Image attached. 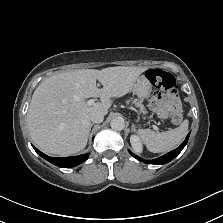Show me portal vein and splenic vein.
Returning <instances> with one entry per match:
<instances>
[{
    "instance_id": "1",
    "label": "portal vein and splenic vein",
    "mask_w": 223,
    "mask_h": 223,
    "mask_svg": "<svg viewBox=\"0 0 223 223\" xmlns=\"http://www.w3.org/2000/svg\"><path fill=\"white\" fill-rule=\"evenodd\" d=\"M93 103H94V100L90 99V100L87 101V106L91 107L93 105ZM145 124L148 126L150 123L147 121ZM152 127L155 130L158 128L155 123L152 125Z\"/></svg>"
}]
</instances>
